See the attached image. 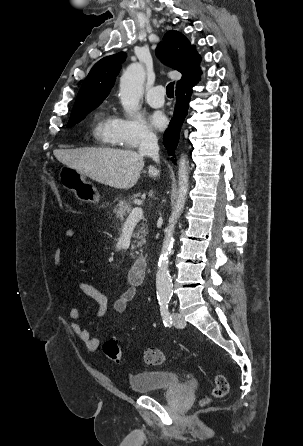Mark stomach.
Wrapping results in <instances>:
<instances>
[{
    "instance_id": "0dacf381",
    "label": "stomach",
    "mask_w": 303,
    "mask_h": 446,
    "mask_svg": "<svg viewBox=\"0 0 303 446\" xmlns=\"http://www.w3.org/2000/svg\"><path fill=\"white\" fill-rule=\"evenodd\" d=\"M59 180L62 186L74 192L75 197L86 203L99 202V193L97 188L90 182L86 181V176L78 170L64 165L59 170Z\"/></svg>"
}]
</instances>
